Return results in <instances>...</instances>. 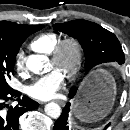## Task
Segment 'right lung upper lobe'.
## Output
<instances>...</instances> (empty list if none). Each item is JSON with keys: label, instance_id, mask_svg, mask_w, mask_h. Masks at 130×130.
Returning a JSON list of instances; mask_svg holds the SVG:
<instances>
[{"label": "right lung upper lobe", "instance_id": "1", "mask_svg": "<svg viewBox=\"0 0 130 130\" xmlns=\"http://www.w3.org/2000/svg\"><path fill=\"white\" fill-rule=\"evenodd\" d=\"M29 27L30 25L26 24L0 21V37H6L11 39L20 38Z\"/></svg>", "mask_w": 130, "mask_h": 130}]
</instances>
